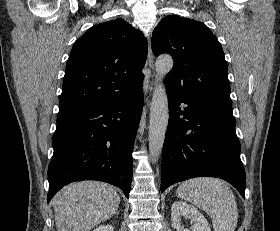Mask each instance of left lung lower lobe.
I'll use <instances>...</instances> for the list:
<instances>
[{"instance_id":"obj_1","label":"left lung lower lobe","mask_w":280,"mask_h":231,"mask_svg":"<svg viewBox=\"0 0 280 231\" xmlns=\"http://www.w3.org/2000/svg\"><path fill=\"white\" fill-rule=\"evenodd\" d=\"M169 124L163 146L161 191L194 177H218L245 198L232 106L167 89ZM181 103L187 106L179 111Z\"/></svg>"}]
</instances>
